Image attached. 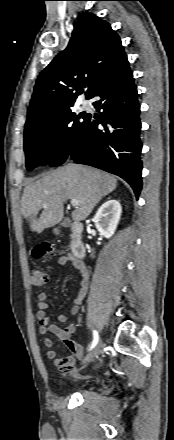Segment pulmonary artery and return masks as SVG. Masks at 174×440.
<instances>
[{"mask_svg": "<svg viewBox=\"0 0 174 440\" xmlns=\"http://www.w3.org/2000/svg\"><path fill=\"white\" fill-rule=\"evenodd\" d=\"M88 106V103L87 102H83L82 103V107H87Z\"/></svg>", "mask_w": 174, "mask_h": 440, "instance_id": "pulmonary-artery-1", "label": "pulmonary artery"}]
</instances>
